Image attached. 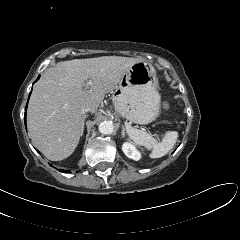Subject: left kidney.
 <instances>
[{"mask_svg":"<svg viewBox=\"0 0 240 240\" xmlns=\"http://www.w3.org/2000/svg\"><path fill=\"white\" fill-rule=\"evenodd\" d=\"M122 150H123L124 154L130 159L138 161L141 158V153L130 142L123 143Z\"/></svg>","mask_w":240,"mask_h":240,"instance_id":"left-kidney-1","label":"left kidney"}]
</instances>
